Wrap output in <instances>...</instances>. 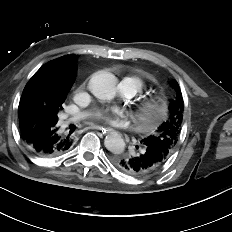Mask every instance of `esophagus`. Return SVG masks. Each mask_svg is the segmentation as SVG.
<instances>
[{
  "label": "esophagus",
  "instance_id": "obj_1",
  "mask_svg": "<svg viewBox=\"0 0 232 232\" xmlns=\"http://www.w3.org/2000/svg\"><path fill=\"white\" fill-rule=\"evenodd\" d=\"M93 129L99 130L100 132H102V134H106L111 131V129L104 128L102 126H93Z\"/></svg>",
  "mask_w": 232,
  "mask_h": 232
}]
</instances>
